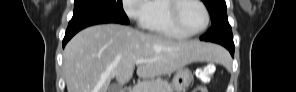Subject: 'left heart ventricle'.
<instances>
[{
	"instance_id": "1",
	"label": "left heart ventricle",
	"mask_w": 296,
	"mask_h": 92,
	"mask_svg": "<svg viewBox=\"0 0 296 92\" xmlns=\"http://www.w3.org/2000/svg\"><path fill=\"white\" fill-rule=\"evenodd\" d=\"M179 20L185 30L195 32L203 27L205 13L198 3L187 1L180 8Z\"/></svg>"
}]
</instances>
